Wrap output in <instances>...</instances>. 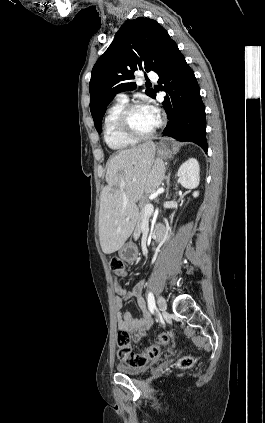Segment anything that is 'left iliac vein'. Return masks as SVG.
I'll return each instance as SVG.
<instances>
[{"instance_id": "1", "label": "left iliac vein", "mask_w": 265, "mask_h": 423, "mask_svg": "<svg viewBox=\"0 0 265 423\" xmlns=\"http://www.w3.org/2000/svg\"><path fill=\"white\" fill-rule=\"evenodd\" d=\"M157 304H158V307L161 311H165L167 309V303H166V300L164 299V297L159 296L157 298Z\"/></svg>"}]
</instances>
